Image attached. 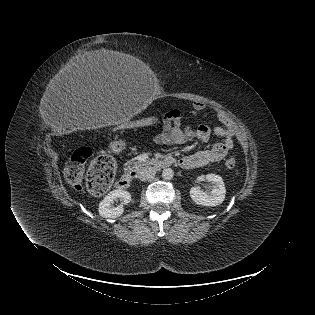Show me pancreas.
Wrapping results in <instances>:
<instances>
[{
    "label": "pancreas",
    "mask_w": 315,
    "mask_h": 315,
    "mask_svg": "<svg viewBox=\"0 0 315 315\" xmlns=\"http://www.w3.org/2000/svg\"><path fill=\"white\" fill-rule=\"evenodd\" d=\"M144 165V163H141V162H138V161H128L126 163V167H125V170L126 171H132V170H135V171H139L140 168Z\"/></svg>",
    "instance_id": "obj_1"
}]
</instances>
